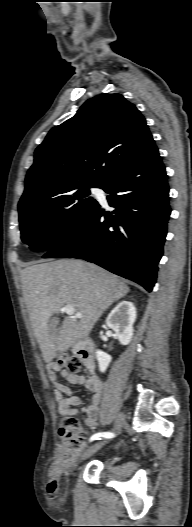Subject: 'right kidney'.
<instances>
[{
    "instance_id": "ca27d5eb",
    "label": "right kidney",
    "mask_w": 192,
    "mask_h": 527,
    "mask_svg": "<svg viewBox=\"0 0 192 527\" xmlns=\"http://www.w3.org/2000/svg\"><path fill=\"white\" fill-rule=\"evenodd\" d=\"M135 320L136 308L134 304L129 301H122L108 315L106 324L115 332L120 344L127 345L130 343L133 336V324ZM96 359L98 361L99 370L104 372L112 358L107 353L97 350Z\"/></svg>"
}]
</instances>
